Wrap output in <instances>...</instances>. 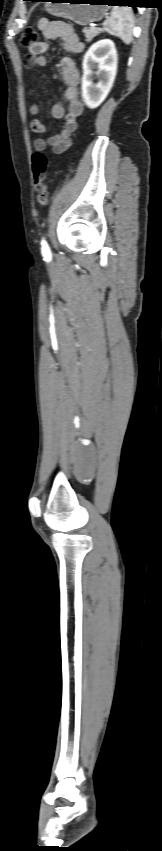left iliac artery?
Instances as JSON below:
<instances>
[{
  "label": "left iliac artery",
  "mask_w": 162,
  "mask_h": 851,
  "mask_svg": "<svg viewBox=\"0 0 162 851\" xmlns=\"http://www.w3.org/2000/svg\"><path fill=\"white\" fill-rule=\"evenodd\" d=\"M41 245H42V248H41L42 255H43L46 259L50 258V256H51V252H50V249H49V247H48V244L46 243V241H45L44 239H42V241H41Z\"/></svg>",
  "instance_id": "44dca946"
}]
</instances>
